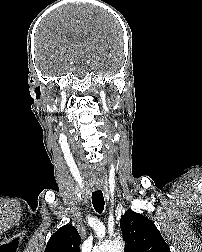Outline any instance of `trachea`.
<instances>
[{"label": "trachea", "mask_w": 202, "mask_h": 252, "mask_svg": "<svg viewBox=\"0 0 202 252\" xmlns=\"http://www.w3.org/2000/svg\"><path fill=\"white\" fill-rule=\"evenodd\" d=\"M92 203L96 212L98 213L103 212L105 201L101 190H96L92 192Z\"/></svg>", "instance_id": "1"}]
</instances>
